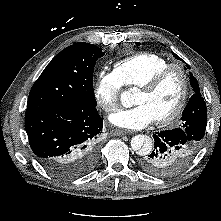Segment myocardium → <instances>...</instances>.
I'll list each match as a JSON object with an SVG mask.
<instances>
[{
	"label": "myocardium",
	"instance_id": "obj_1",
	"mask_svg": "<svg viewBox=\"0 0 221 221\" xmlns=\"http://www.w3.org/2000/svg\"><path fill=\"white\" fill-rule=\"evenodd\" d=\"M173 70L178 71L181 76L182 92L178 100V103L176 104L174 109L167 115L155 119L156 123L159 125H165L173 122L181 114L187 103L190 84L185 68L178 63H169L167 66L156 72L148 81H146L145 83H143L138 87V90L147 93L153 92L159 87V85L162 83L165 77Z\"/></svg>",
	"mask_w": 221,
	"mask_h": 221
}]
</instances>
